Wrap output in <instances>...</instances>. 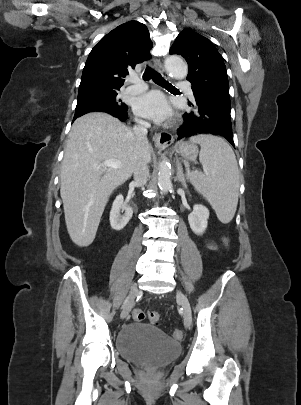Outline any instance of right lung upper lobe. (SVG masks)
<instances>
[{"label":"right lung upper lobe","instance_id":"1","mask_svg":"<svg viewBox=\"0 0 301 405\" xmlns=\"http://www.w3.org/2000/svg\"><path fill=\"white\" fill-rule=\"evenodd\" d=\"M147 27L129 21L105 35L92 49L83 69L79 91L93 88L120 89L129 68L151 57Z\"/></svg>","mask_w":301,"mask_h":405}]
</instances>
